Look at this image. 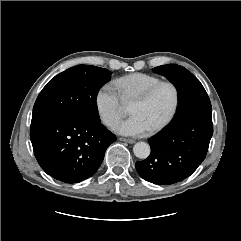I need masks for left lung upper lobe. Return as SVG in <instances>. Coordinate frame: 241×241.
I'll use <instances>...</instances> for the list:
<instances>
[{
  "instance_id": "1",
  "label": "left lung upper lobe",
  "mask_w": 241,
  "mask_h": 241,
  "mask_svg": "<svg viewBox=\"0 0 241 241\" xmlns=\"http://www.w3.org/2000/svg\"><path fill=\"white\" fill-rule=\"evenodd\" d=\"M153 70L155 73L167 77L178 91V109L170 126L200 112L212 110L210 99L204 87L186 68L176 64H168Z\"/></svg>"
}]
</instances>
